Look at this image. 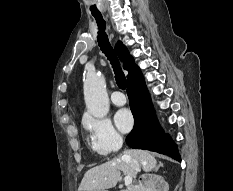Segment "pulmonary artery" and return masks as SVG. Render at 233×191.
Segmentation results:
<instances>
[{
    "instance_id": "1",
    "label": "pulmonary artery",
    "mask_w": 233,
    "mask_h": 191,
    "mask_svg": "<svg viewBox=\"0 0 233 191\" xmlns=\"http://www.w3.org/2000/svg\"><path fill=\"white\" fill-rule=\"evenodd\" d=\"M111 101L117 106H122L126 103V97L122 92L114 91L111 94Z\"/></svg>"
}]
</instances>
